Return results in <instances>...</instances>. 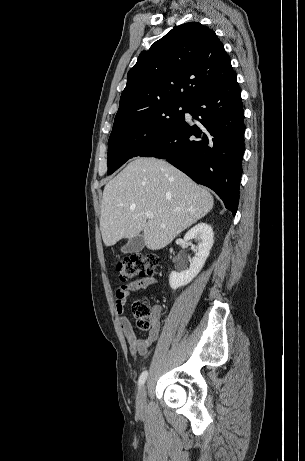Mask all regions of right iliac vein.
Listing matches in <instances>:
<instances>
[{
    "mask_svg": "<svg viewBox=\"0 0 305 461\" xmlns=\"http://www.w3.org/2000/svg\"><path fill=\"white\" fill-rule=\"evenodd\" d=\"M145 405H146V389H145V386H142L137 393L136 406L139 411H143Z\"/></svg>",
    "mask_w": 305,
    "mask_h": 461,
    "instance_id": "63e3f726",
    "label": "right iliac vein"
}]
</instances>
